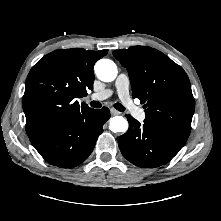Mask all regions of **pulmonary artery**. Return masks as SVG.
Instances as JSON below:
<instances>
[{
    "label": "pulmonary artery",
    "instance_id": "pulmonary-artery-1",
    "mask_svg": "<svg viewBox=\"0 0 221 221\" xmlns=\"http://www.w3.org/2000/svg\"><path fill=\"white\" fill-rule=\"evenodd\" d=\"M114 89L117 91L119 98L124 102V104L131 110L133 115L139 119L143 120L145 114L143 110L138 108L130 98L129 95V78L125 73H120L114 83ZM113 93V89H106L99 93H94L90 96L92 100H103L110 97Z\"/></svg>",
    "mask_w": 221,
    "mask_h": 221
}]
</instances>
